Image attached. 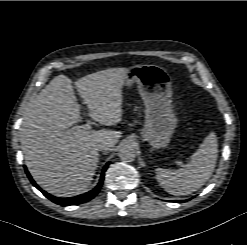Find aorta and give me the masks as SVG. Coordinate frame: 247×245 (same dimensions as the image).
<instances>
[{
	"instance_id": "1",
	"label": "aorta",
	"mask_w": 247,
	"mask_h": 245,
	"mask_svg": "<svg viewBox=\"0 0 247 245\" xmlns=\"http://www.w3.org/2000/svg\"><path fill=\"white\" fill-rule=\"evenodd\" d=\"M118 156L121 161L130 163L135 160L136 152L132 145H125L119 150Z\"/></svg>"
}]
</instances>
